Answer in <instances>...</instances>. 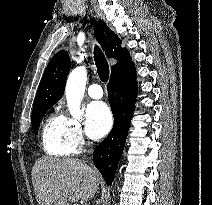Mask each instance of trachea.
Returning a JSON list of instances; mask_svg holds the SVG:
<instances>
[{"label":"trachea","instance_id":"1","mask_svg":"<svg viewBox=\"0 0 212 205\" xmlns=\"http://www.w3.org/2000/svg\"><path fill=\"white\" fill-rule=\"evenodd\" d=\"M94 60L100 80L107 82L109 78V65L103 52L97 46L94 49Z\"/></svg>","mask_w":212,"mask_h":205}]
</instances>
